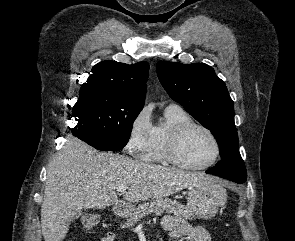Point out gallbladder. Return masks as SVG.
<instances>
[{
	"label": "gallbladder",
	"instance_id": "1",
	"mask_svg": "<svg viewBox=\"0 0 295 241\" xmlns=\"http://www.w3.org/2000/svg\"><path fill=\"white\" fill-rule=\"evenodd\" d=\"M81 214H82V211L81 210H75L74 211V216H73L72 219L78 218Z\"/></svg>",
	"mask_w": 295,
	"mask_h": 241
}]
</instances>
